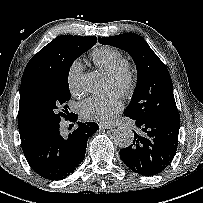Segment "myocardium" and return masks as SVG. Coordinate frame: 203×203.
Here are the masks:
<instances>
[{
	"label": "myocardium",
	"mask_w": 203,
	"mask_h": 203,
	"mask_svg": "<svg viewBox=\"0 0 203 203\" xmlns=\"http://www.w3.org/2000/svg\"><path fill=\"white\" fill-rule=\"evenodd\" d=\"M109 76L113 79L123 78L124 83L122 86L123 92H128L132 89L135 83V72L133 66L128 62H123L115 69H113Z\"/></svg>",
	"instance_id": "myocardium-1"
}]
</instances>
